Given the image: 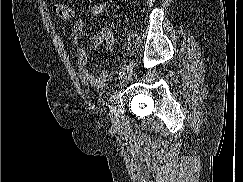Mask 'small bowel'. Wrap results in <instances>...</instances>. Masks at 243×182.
<instances>
[{"label": "small bowel", "instance_id": "obj_1", "mask_svg": "<svg viewBox=\"0 0 243 182\" xmlns=\"http://www.w3.org/2000/svg\"><path fill=\"white\" fill-rule=\"evenodd\" d=\"M106 11V5L104 3L94 4L90 7V13L92 15H99ZM85 22L82 18L75 20L72 30V41L76 49L77 55V75L81 81L86 85L102 89L108 84L110 72L108 69L102 70L99 74H93L88 68V55L84 48L85 37ZM94 48H100L104 46L109 54L114 51V39L110 34H102L96 36L93 39Z\"/></svg>", "mask_w": 243, "mask_h": 182}]
</instances>
